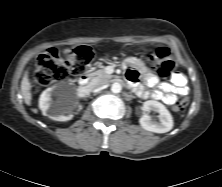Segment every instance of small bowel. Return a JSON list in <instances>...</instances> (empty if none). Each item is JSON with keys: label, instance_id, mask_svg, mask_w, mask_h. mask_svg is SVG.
Masks as SVG:
<instances>
[{"label": "small bowel", "instance_id": "1", "mask_svg": "<svg viewBox=\"0 0 222 187\" xmlns=\"http://www.w3.org/2000/svg\"><path fill=\"white\" fill-rule=\"evenodd\" d=\"M129 62L126 69V78L131 83L136 84L138 81V73ZM144 83L149 87L156 86L153 91L140 90L139 95L144 98L162 101L167 105H174L179 95H186L188 93V86L186 77L181 73H176L172 76L171 82H159V79L151 74H145L143 78Z\"/></svg>", "mask_w": 222, "mask_h": 187}]
</instances>
